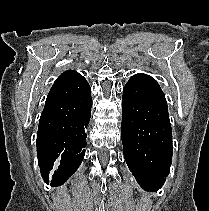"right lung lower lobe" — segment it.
<instances>
[{
	"mask_svg": "<svg viewBox=\"0 0 209 211\" xmlns=\"http://www.w3.org/2000/svg\"><path fill=\"white\" fill-rule=\"evenodd\" d=\"M91 116V89L72 71L53 84L39 120L37 157L42 178L62 185L80 166Z\"/></svg>",
	"mask_w": 209,
	"mask_h": 211,
	"instance_id": "right-lung-lower-lobe-1",
	"label": "right lung lower lobe"
}]
</instances>
